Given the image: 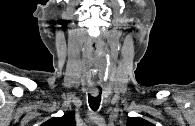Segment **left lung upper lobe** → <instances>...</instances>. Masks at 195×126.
Instances as JSON below:
<instances>
[{
	"label": "left lung upper lobe",
	"instance_id": "obj_1",
	"mask_svg": "<svg viewBox=\"0 0 195 126\" xmlns=\"http://www.w3.org/2000/svg\"><path fill=\"white\" fill-rule=\"evenodd\" d=\"M127 126H153V124L142 118L132 117L128 119Z\"/></svg>",
	"mask_w": 195,
	"mask_h": 126
}]
</instances>
